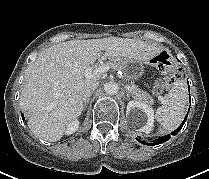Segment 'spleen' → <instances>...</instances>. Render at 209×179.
<instances>
[{"instance_id":"1","label":"spleen","mask_w":209,"mask_h":179,"mask_svg":"<svg viewBox=\"0 0 209 179\" xmlns=\"http://www.w3.org/2000/svg\"><path fill=\"white\" fill-rule=\"evenodd\" d=\"M163 100V105L156 110L155 119L162 125L164 131H173L184 118L188 101L186 84L181 80L174 82Z\"/></svg>"}]
</instances>
